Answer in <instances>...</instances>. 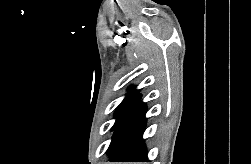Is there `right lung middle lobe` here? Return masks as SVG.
Here are the masks:
<instances>
[{
  "label": "right lung middle lobe",
  "mask_w": 251,
  "mask_h": 164,
  "mask_svg": "<svg viewBox=\"0 0 251 164\" xmlns=\"http://www.w3.org/2000/svg\"><path fill=\"white\" fill-rule=\"evenodd\" d=\"M141 98V95L136 92L127 94L126 98L122 101L115 112L116 122Z\"/></svg>",
  "instance_id": "dd1d6c3e"
}]
</instances>
